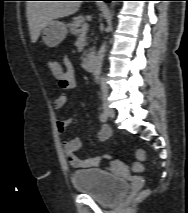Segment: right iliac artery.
<instances>
[{"label": "right iliac artery", "instance_id": "right-iliac-artery-1", "mask_svg": "<svg viewBox=\"0 0 188 213\" xmlns=\"http://www.w3.org/2000/svg\"><path fill=\"white\" fill-rule=\"evenodd\" d=\"M100 120H101L102 122H107V120H108V115H107L106 112H102V113H101V115H100Z\"/></svg>", "mask_w": 188, "mask_h": 213}]
</instances>
